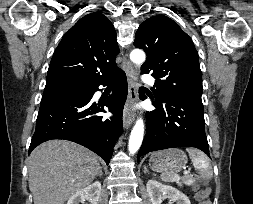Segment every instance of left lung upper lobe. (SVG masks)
<instances>
[{"instance_id":"1","label":"left lung upper lobe","mask_w":253,"mask_h":204,"mask_svg":"<svg viewBox=\"0 0 253 204\" xmlns=\"http://www.w3.org/2000/svg\"><path fill=\"white\" fill-rule=\"evenodd\" d=\"M134 46L146 52L141 70L156 78V101L201 97L198 53L191 38L172 19L157 15L145 20L135 34Z\"/></svg>"}]
</instances>
